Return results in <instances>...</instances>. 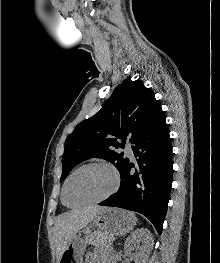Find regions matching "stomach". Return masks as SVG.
Instances as JSON below:
<instances>
[{"mask_svg": "<svg viewBox=\"0 0 220 263\" xmlns=\"http://www.w3.org/2000/svg\"><path fill=\"white\" fill-rule=\"evenodd\" d=\"M136 224L133 213L120 208H104L92 220L90 226H86L83 232L87 237L91 233L90 228L96 227L101 233L99 243L101 247L109 248L114 236H123L130 232ZM103 243V245L101 244ZM87 241L80 234H76L64 250L59 263H83V254Z\"/></svg>", "mask_w": 220, "mask_h": 263, "instance_id": "0dacf381", "label": "stomach"}]
</instances>
